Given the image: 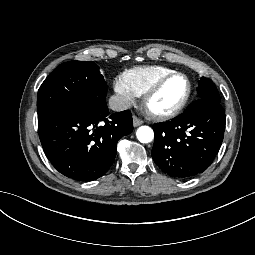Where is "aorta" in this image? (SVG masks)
<instances>
[{
	"instance_id": "aorta-1",
	"label": "aorta",
	"mask_w": 255,
	"mask_h": 255,
	"mask_svg": "<svg viewBox=\"0 0 255 255\" xmlns=\"http://www.w3.org/2000/svg\"><path fill=\"white\" fill-rule=\"evenodd\" d=\"M136 136L141 143H149L154 138V132L148 126H141L137 129Z\"/></svg>"
}]
</instances>
